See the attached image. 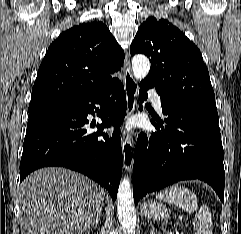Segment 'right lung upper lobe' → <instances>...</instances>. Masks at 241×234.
<instances>
[{"label":"right lung upper lobe","instance_id":"right-lung-upper-lobe-1","mask_svg":"<svg viewBox=\"0 0 241 234\" xmlns=\"http://www.w3.org/2000/svg\"><path fill=\"white\" fill-rule=\"evenodd\" d=\"M123 62L124 52L103 22L76 25L48 48L29 105L87 98L116 79L110 74Z\"/></svg>","mask_w":241,"mask_h":234}]
</instances>
